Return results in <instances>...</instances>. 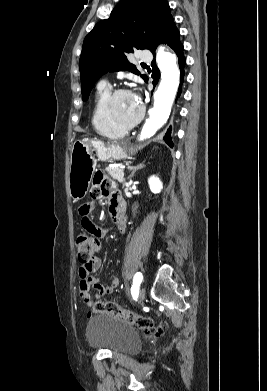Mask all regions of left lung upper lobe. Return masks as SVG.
I'll return each mask as SVG.
<instances>
[{"label":"left lung upper lobe","instance_id":"5c2ea615","mask_svg":"<svg viewBox=\"0 0 267 391\" xmlns=\"http://www.w3.org/2000/svg\"><path fill=\"white\" fill-rule=\"evenodd\" d=\"M174 26L166 0H121L110 17L97 23L84 39L79 60L83 101L108 71L128 70L139 75L127 54L135 49L151 51ZM141 77L147 80L145 75Z\"/></svg>","mask_w":267,"mask_h":391}]
</instances>
